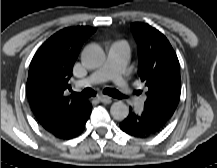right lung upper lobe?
Segmentation results:
<instances>
[{"instance_id": "obj_1", "label": "right lung upper lobe", "mask_w": 217, "mask_h": 168, "mask_svg": "<svg viewBox=\"0 0 217 168\" xmlns=\"http://www.w3.org/2000/svg\"><path fill=\"white\" fill-rule=\"evenodd\" d=\"M93 27H68L51 36L34 55L26 85L30 107L48 132L64 127L85 112L90 103L81 97L69 98L73 65Z\"/></svg>"}]
</instances>
